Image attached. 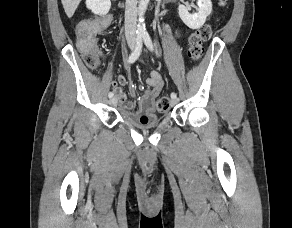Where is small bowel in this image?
<instances>
[{
	"mask_svg": "<svg viewBox=\"0 0 292 228\" xmlns=\"http://www.w3.org/2000/svg\"><path fill=\"white\" fill-rule=\"evenodd\" d=\"M130 81L124 75H118L117 81L113 83V91L116 94L118 105L128 111L153 113L155 111V100L159 96L163 88V79L156 70H151L146 78L148 89L141 96H137L136 87L133 83L129 85V93L133 97H137L138 109L134 102L129 101L123 86Z\"/></svg>",
	"mask_w": 292,
	"mask_h": 228,
	"instance_id": "small-bowel-1",
	"label": "small bowel"
}]
</instances>
